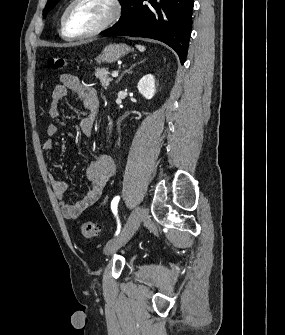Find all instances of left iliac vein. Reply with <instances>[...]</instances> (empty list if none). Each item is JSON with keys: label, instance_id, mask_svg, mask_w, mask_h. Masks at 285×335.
<instances>
[{"label": "left iliac vein", "instance_id": "obj_1", "mask_svg": "<svg viewBox=\"0 0 285 335\" xmlns=\"http://www.w3.org/2000/svg\"><path fill=\"white\" fill-rule=\"evenodd\" d=\"M147 217L146 211L142 207H136L130 214L121 233L104 246V254L110 255L122 247L138 229L140 223Z\"/></svg>", "mask_w": 285, "mask_h": 335}]
</instances>
